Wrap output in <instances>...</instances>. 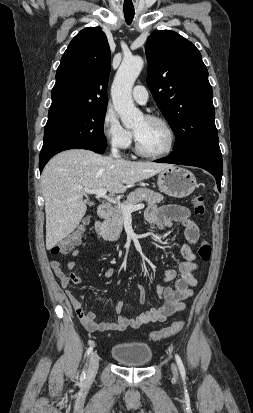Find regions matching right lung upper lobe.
<instances>
[{
    "mask_svg": "<svg viewBox=\"0 0 253 413\" xmlns=\"http://www.w3.org/2000/svg\"><path fill=\"white\" fill-rule=\"evenodd\" d=\"M111 53L100 27L81 30L61 58L48 115L107 107Z\"/></svg>",
    "mask_w": 253,
    "mask_h": 413,
    "instance_id": "obj_1",
    "label": "right lung upper lobe"
}]
</instances>
